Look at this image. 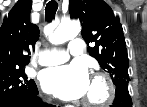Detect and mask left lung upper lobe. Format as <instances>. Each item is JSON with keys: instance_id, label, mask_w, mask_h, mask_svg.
Returning <instances> with one entry per match:
<instances>
[{"instance_id": "1", "label": "left lung upper lobe", "mask_w": 147, "mask_h": 107, "mask_svg": "<svg viewBox=\"0 0 147 107\" xmlns=\"http://www.w3.org/2000/svg\"><path fill=\"white\" fill-rule=\"evenodd\" d=\"M72 18H79L89 54L97 59L115 85L128 82V54L122 25L103 0H69Z\"/></svg>"}]
</instances>
